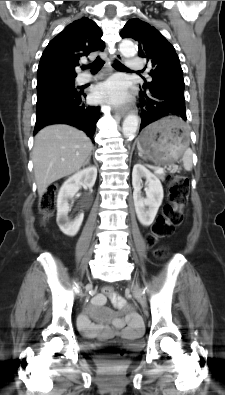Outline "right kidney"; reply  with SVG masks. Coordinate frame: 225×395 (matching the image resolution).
Wrapping results in <instances>:
<instances>
[{
	"instance_id": "obj_1",
	"label": "right kidney",
	"mask_w": 225,
	"mask_h": 395,
	"mask_svg": "<svg viewBox=\"0 0 225 395\" xmlns=\"http://www.w3.org/2000/svg\"><path fill=\"white\" fill-rule=\"evenodd\" d=\"M97 177V168L94 166L87 167L73 176L69 177L60 188L57 198V225L60 230L68 236H75L82 224L84 214L80 213L73 220H70L68 213L70 211L69 199H71L81 186L92 188Z\"/></svg>"
}]
</instances>
